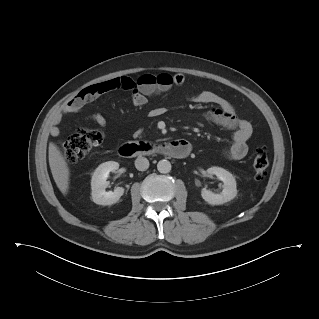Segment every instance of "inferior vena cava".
Segmentation results:
<instances>
[{"instance_id": "inferior-vena-cava-1", "label": "inferior vena cava", "mask_w": 319, "mask_h": 319, "mask_svg": "<svg viewBox=\"0 0 319 319\" xmlns=\"http://www.w3.org/2000/svg\"><path fill=\"white\" fill-rule=\"evenodd\" d=\"M135 167L137 168V170L139 171H145L148 169L149 167V161L147 158L145 157H138L135 160Z\"/></svg>"}]
</instances>
